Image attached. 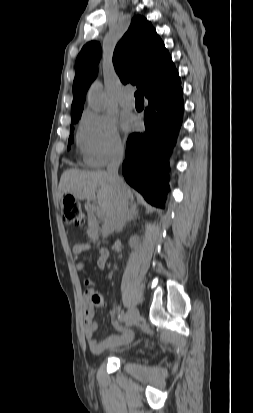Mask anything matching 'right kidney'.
<instances>
[{
    "label": "right kidney",
    "instance_id": "obj_1",
    "mask_svg": "<svg viewBox=\"0 0 253 413\" xmlns=\"http://www.w3.org/2000/svg\"><path fill=\"white\" fill-rule=\"evenodd\" d=\"M129 244L132 247L138 248L139 247V238L138 236H131L129 240Z\"/></svg>",
    "mask_w": 253,
    "mask_h": 413
}]
</instances>
